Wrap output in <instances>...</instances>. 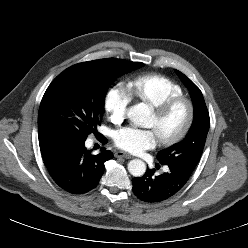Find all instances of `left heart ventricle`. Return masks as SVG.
Masks as SVG:
<instances>
[{
    "label": "left heart ventricle",
    "instance_id": "1",
    "mask_svg": "<svg viewBox=\"0 0 248 248\" xmlns=\"http://www.w3.org/2000/svg\"><path fill=\"white\" fill-rule=\"evenodd\" d=\"M186 117V106L184 104H179L162 119H158L152 114L150 127L155 130L159 139L171 137L183 127Z\"/></svg>",
    "mask_w": 248,
    "mask_h": 248
}]
</instances>
